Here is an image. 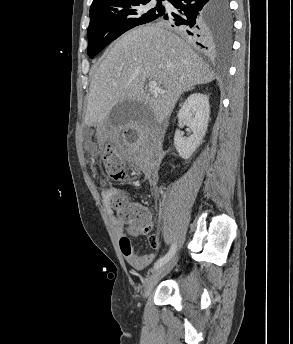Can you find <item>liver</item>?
Returning a JSON list of instances; mask_svg holds the SVG:
<instances>
[{
    "label": "liver",
    "mask_w": 293,
    "mask_h": 344,
    "mask_svg": "<svg viewBox=\"0 0 293 344\" xmlns=\"http://www.w3.org/2000/svg\"><path fill=\"white\" fill-rule=\"evenodd\" d=\"M215 79L201 57L179 36L160 25H146L124 34L107 53L89 88L87 126H100L114 106L138 101L162 123L180 95ZM156 81L163 94L149 96L146 81Z\"/></svg>",
    "instance_id": "liver-1"
}]
</instances>
